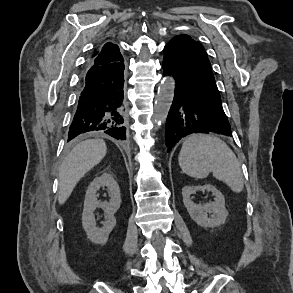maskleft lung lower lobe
Masks as SVG:
<instances>
[{"label":"left lung lower lobe","instance_id":"left-lung-lower-lobe-1","mask_svg":"<svg viewBox=\"0 0 293 293\" xmlns=\"http://www.w3.org/2000/svg\"><path fill=\"white\" fill-rule=\"evenodd\" d=\"M164 75L175 80L174 99L166 121L167 152L191 133H221L231 136L219 92L193 75L173 43L164 48Z\"/></svg>","mask_w":293,"mask_h":293}]
</instances>
